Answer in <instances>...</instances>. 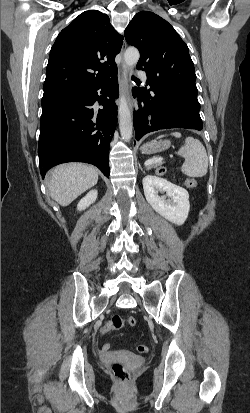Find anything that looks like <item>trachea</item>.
<instances>
[{"label": "trachea", "instance_id": "3493384b", "mask_svg": "<svg viewBox=\"0 0 250 413\" xmlns=\"http://www.w3.org/2000/svg\"><path fill=\"white\" fill-rule=\"evenodd\" d=\"M132 80H134V81L137 82V83L140 82V81H139L136 77H134V76H132Z\"/></svg>", "mask_w": 250, "mask_h": 413}]
</instances>
